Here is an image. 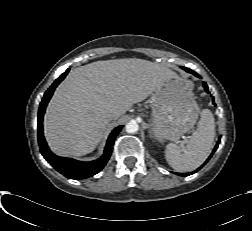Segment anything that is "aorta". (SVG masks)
I'll list each match as a JSON object with an SVG mask.
<instances>
[{
    "label": "aorta",
    "instance_id": "obj_1",
    "mask_svg": "<svg viewBox=\"0 0 252 231\" xmlns=\"http://www.w3.org/2000/svg\"><path fill=\"white\" fill-rule=\"evenodd\" d=\"M139 130V126L136 122H129L126 125V132L128 133H136Z\"/></svg>",
    "mask_w": 252,
    "mask_h": 231
}]
</instances>
